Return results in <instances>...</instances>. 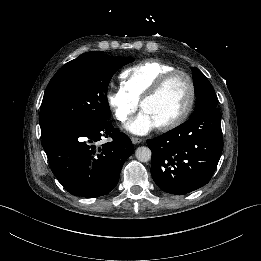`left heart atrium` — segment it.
<instances>
[{"label":"left heart atrium","instance_id":"39dd6f15","mask_svg":"<svg viewBox=\"0 0 261 261\" xmlns=\"http://www.w3.org/2000/svg\"><path fill=\"white\" fill-rule=\"evenodd\" d=\"M157 125L152 117L142 110L128 125L127 130L136 135H145L156 128Z\"/></svg>","mask_w":261,"mask_h":261}]
</instances>
